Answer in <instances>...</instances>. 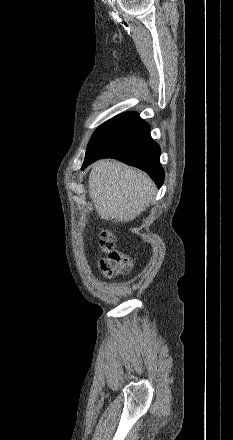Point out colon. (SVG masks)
Here are the masks:
<instances>
[{
    "instance_id": "5ec220e1",
    "label": "colon",
    "mask_w": 233,
    "mask_h": 440,
    "mask_svg": "<svg viewBox=\"0 0 233 440\" xmlns=\"http://www.w3.org/2000/svg\"><path fill=\"white\" fill-rule=\"evenodd\" d=\"M99 243L105 254L98 264L103 275L112 278L131 269L132 261L116 249V239L110 231L101 232Z\"/></svg>"
}]
</instances>
